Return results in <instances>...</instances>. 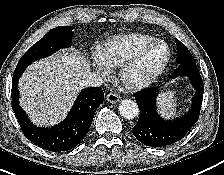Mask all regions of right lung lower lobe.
Returning <instances> with one entry per match:
<instances>
[{
    "label": "right lung lower lobe",
    "mask_w": 224,
    "mask_h": 175,
    "mask_svg": "<svg viewBox=\"0 0 224 175\" xmlns=\"http://www.w3.org/2000/svg\"><path fill=\"white\" fill-rule=\"evenodd\" d=\"M18 64L12 79V108L17 116L25 137L43 149L60 152L68 151L79 144L88 133L94 114L104 100L101 87L83 90L67 118L51 128H40L33 125L19 106L18 80L28 65Z\"/></svg>",
    "instance_id": "98d812e1"
}]
</instances>
